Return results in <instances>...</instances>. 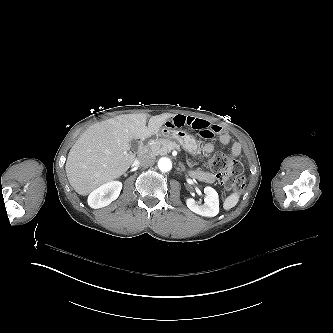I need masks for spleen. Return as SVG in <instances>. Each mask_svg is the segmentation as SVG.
<instances>
[{
    "mask_svg": "<svg viewBox=\"0 0 333 333\" xmlns=\"http://www.w3.org/2000/svg\"><path fill=\"white\" fill-rule=\"evenodd\" d=\"M241 193L239 191L230 192L223 200L222 207L224 210L228 211L234 208L240 201Z\"/></svg>",
    "mask_w": 333,
    "mask_h": 333,
    "instance_id": "obj_1",
    "label": "spleen"
}]
</instances>
